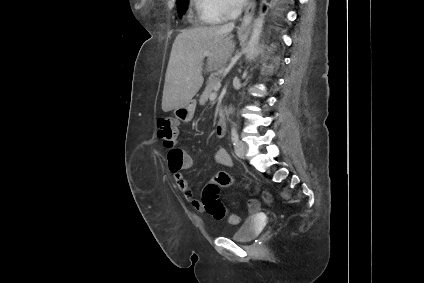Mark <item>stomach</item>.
<instances>
[{"mask_svg":"<svg viewBox=\"0 0 424 283\" xmlns=\"http://www.w3.org/2000/svg\"><path fill=\"white\" fill-rule=\"evenodd\" d=\"M195 107H196L195 102L190 101L189 103L176 108L174 110V115L178 120L184 123H187L192 120L194 112H195Z\"/></svg>","mask_w":424,"mask_h":283,"instance_id":"1","label":"stomach"}]
</instances>
